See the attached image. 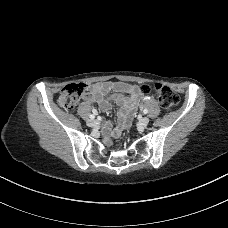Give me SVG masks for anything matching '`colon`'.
I'll use <instances>...</instances> for the list:
<instances>
[{"instance_id":"obj_1","label":"colon","mask_w":228,"mask_h":228,"mask_svg":"<svg viewBox=\"0 0 228 228\" xmlns=\"http://www.w3.org/2000/svg\"><path fill=\"white\" fill-rule=\"evenodd\" d=\"M87 91L88 85L85 83L68 84L61 90L58 103L65 110H71ZM140 91L147 94L150 91V87L143 85L140 87ZM154 92L163 110L171 111L178 106L179 98L169 87L156 84L154 86Z\"/></svg>"}]
</instances>
